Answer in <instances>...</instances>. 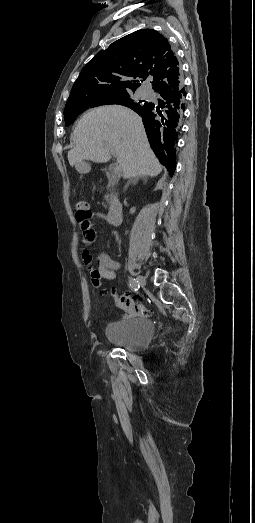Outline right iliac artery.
<instances>
[{
    "instance_id": "1",
    "label": "right iliac artery",
    "mask_w": 255,
    "mask_h": 523,
    "mask_svg": "<svg viewBox=\"0 0 255 523\" xmlns=\"http://www.w3.org/2000/svg\"><path fill=\"white\" fill-rule=\"evenodd\" d=\"M129 286L134 291H137L139 289V287H140L138 280H136L134 278H130L129 279Z\"/></svg>"
}]
</instances>
